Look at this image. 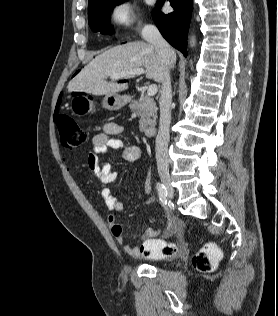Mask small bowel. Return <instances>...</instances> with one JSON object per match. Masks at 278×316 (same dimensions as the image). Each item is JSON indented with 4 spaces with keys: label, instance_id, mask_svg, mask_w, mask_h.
<instances>
[{
    "label": "small bowel",
    "instance_id": "small-bowel-1",
    "mask_svg": "<svg viewBox=\"0 0 278 316\" xmlns=\"http://www.w3.org/2000/svg\"><path fill=\"white\" fill-rule=\"evenodd\" d=\"M122 131V125L115 122H106L103 125V131L92 138L93 150L88 154L87 166L103 185L113 182L117 178V173L112 169L111 164L100 158V155L106 154L108 150L112 149L121 150L122 157L127 162H137L141 158V150L137 145H126L120 138L115 137ZM144 189L146 192L151 190V174L148 170H146ZM101 196L108 210L112 212L108 215L107 221L116 242L123 246L127 254L131 256L140 255V248L125 243L123 227L117 222V216L114 214V212H119L123 209V204L112 195L111 190L106 186L102 188ZM154 202L155 198L151 197L147 201V205H151ZM174 227L175 230H180L181 224L179 220L174 221ZM160 233L159 229L147 228L143 236L152 240L159 236Z\"/></svg>",
    "mask_w": 278,
    "mask_h": 316
}]
</instances>
